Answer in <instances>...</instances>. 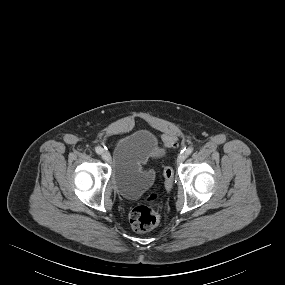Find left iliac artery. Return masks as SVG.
Instances as JSON below:
<instances>
[{
    "mask_svg": "<svg viewBox=\"0 0 285 285\" xmlns=\"http://www.w3.org/2000/svg\"><path fill=\"white\" fill-rule=\"evenodd\" d=\"M182 152H184L187 155H190L193 152V148L192 147L185 148L184 151Z\"/></svg>",
    "mask_w": 285,
    "mask_h": 285,
    "instance_id": "left-iliac-artery-1",
    "label": "left iliac artery"
}]
</instances>
